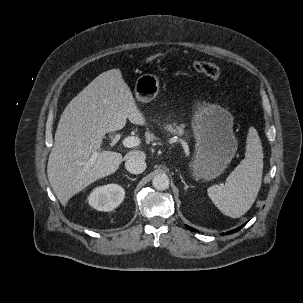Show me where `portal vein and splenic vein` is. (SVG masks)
I'll use <instances>...</instances> for the list:
<instances>
[{
	"mask_svg": "<svg viewBox=\"0 0 303 303\" xmlns=\"http://www.w3.org/2000/svg\"><path fill=\"white\" fill-rule=\"evenodd\" d=\"M122 144L124 147L126 148H133L136 147L140 144V140L137 137L134 136H128L126 138L123 139ZM98 156V153L95 152L91 158H90V162H93Z\"/></svg>",
	"mask_w": 303,
	"mask_h": 303,
	"instance_id": "obj_1",
	"label": "portal vein and splenic vein"
}]
</instances>
